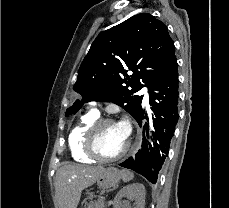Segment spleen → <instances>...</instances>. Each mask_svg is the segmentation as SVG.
I'll use <instances>...</instances> for the list:
<instances>
[{
    "mask_svg": "<svg viewBox=\"0 0 229 208\" xmlns=\"http://www.w3.org/2000/svg\"><path fill=\"white\" fill-rule=\"evenodd\" d=\"M121 178L123 182H130V180H133L134 176L132 172H128V170H122Z\"/></svg>",
    "mask_w": 229,
    "mask_h": 208,
    "instance_id": "3e777b00",
    "label": "spleen"
}]
</instances>
